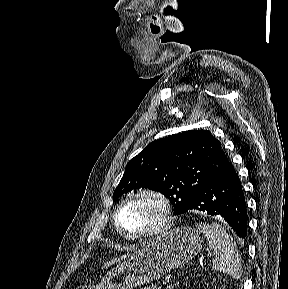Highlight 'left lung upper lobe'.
<instances>
[{"mask_svg": "<svg viewBox=\"0 0 288 289\" xmlns=\"http://www.w3.org/2000/svg\"><path fill=\"white\" fill-rule=\"evenodd\" d=\"M227 160L221 143L206 130L155 140L128 162L113 193L114 201L145 187L168 198L175 215L184 213Z\"/></svg>", "mask_w": 288, "mask_h": 289, "instance_id": "obj_1", "label": "left lung upper lobe"}]
</instances>
